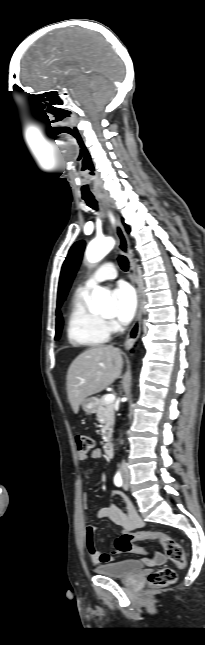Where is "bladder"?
<instances>
[{
    "instance_id": "1",
    "label": "bladder",
    "mask_w": 205,
    "mask_h": 645,
    "mask_svg": "<svg viewBox=\"0 0 205 645\" xmlns=\"http://www.w3.org/2000/svg\"><path fill=\"white\" fill-rule=\"evenodd\" d=\"M144 565L137 559H125L111 563L100 564L95 567L98 574L114 577L128 578L143 569Z\"/></svg>"
}]
</instances>
